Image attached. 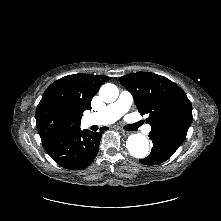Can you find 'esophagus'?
I'll return each mask as SVG.
<instances>
[{
  "mask_svg": "<svg viewBox=\"0 0 221 221\" xmlns=\"http://www.w3.org/2000/svg\"><path fill=\"white\" fill-rule=\"evenodd\" d=\"M121 132L123 133V135L127 136L129 135L131 132L130 131H126V130H123L121 129Z\"/></svg>",
  "mask_w": 221,
  "mask_h": 221,
  "instance_id": "1",
  "label": "esophagus"
}]
</instances>
